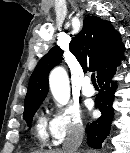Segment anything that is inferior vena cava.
<instances>
[{
    "label": "inferior vena cava",
    "mask_w": 130,
    "mask_h": 153,
    "mask_svg": "<svg viewBox=\"0 0 130 153\" xmlns=\"http://www.w3.org/2000/svg\"><path fill=\"white\" fill-rule=\"evenodd\" d=\"M84 135L83 125H77L71 129L63 143V153H77Z\"/></svg>",
    "instance_id": "602c4592"
}]
</instances>
